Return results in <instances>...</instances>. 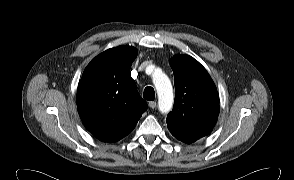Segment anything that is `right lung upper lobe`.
Returning a JSON list of instances; mask_svg holds the SVG:
<instances>
[{"label": "right lung upper lobe", "instance_id": "cb5924a9", "mask_svg": "<svg viewBox=\"0 0 294 180\" xmlns=\"http://www.w3.org/2000/svg\"><path fill=\"white\" fill-rule=\"evenodd\" d=\"M137 54L132 46L108 49L88 64L79 82L78 113L84 126L103 142L128 135L147 109L130 72Z\"/></svg>", "mask_w": 294, "mask_h": 180}]
</instances>
